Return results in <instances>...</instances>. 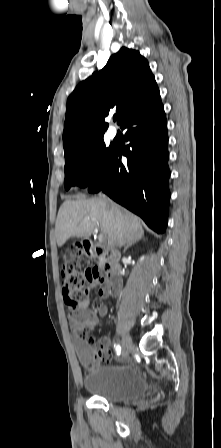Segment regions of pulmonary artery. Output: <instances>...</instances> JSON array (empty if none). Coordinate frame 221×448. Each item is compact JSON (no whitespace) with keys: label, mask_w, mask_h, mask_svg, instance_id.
I'll use <instances>...</instances> for the list:
<instances>
[{"label":"pulmonary artery","mask_w":221,"mask_h":448,"mask_svg":"<svg viewBox=\"0 0 221 448\" xmlns=\"http://www.w3.org/2000/svg\"><path fill=\"white\" fill-rule=\"evenodd\" d=\"M116 135H117L116 129L114 127H110L108 129V136H109V138L114 139L116 137Z\"/></svg>","instance_id":"obj_1"}]
</instances>
